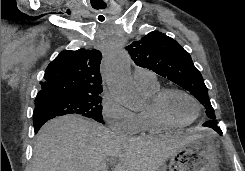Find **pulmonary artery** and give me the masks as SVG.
Segmentation results:
<instances>
[{
    "mask_svg": "<svg viewBox=\"0 0 245 171\" xmlns=\"http://www.w3.org/2000/svg\"><path fill=\"white\" fill-rule=\"evenodd\" d=\"M133 78L139 86H151L157 83L154 72L142 67L134 69Z\"/></svg>",
    "mask_w": 245,
    "mask_h": 171,
    "instance_id": "e3ab8cb5",
    "label": "pulmonary artery"
}]
</instances>
